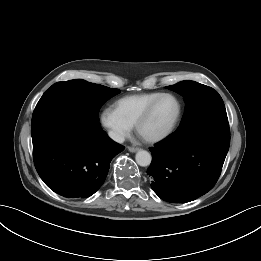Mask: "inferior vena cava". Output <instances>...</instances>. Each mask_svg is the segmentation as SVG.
Wrapping results in <instances>:
<instances>
[{
	"label": "inferior vena cava",
	"mask_w": 261,
	"mask_h": 261,
	"mask_svg": "<svg viewBox=\"0 0 261 261\" xmlns=\"http://www.w3.org/2000/svg\"><path fill=\"white\" fill-rule=\"evenodd\" d=\"M108 135L112 140L118 143H123L125 140V137L122 134L114 131H109Z\"/></svg>",
	"instance_id": "inferior-vena-cava-1"
}]
</instances>
